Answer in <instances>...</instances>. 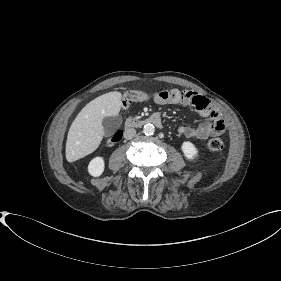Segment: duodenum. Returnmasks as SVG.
<instances>
[{"mask_svg": "<svg viewBox=\"0 0 281 281\" xmlns=\"http://www.w3.org/2000/svg\"><path fill=\"white\" fill-rule=\"evenodd\" d=\"M147 124H153L157 127H162V120L159 114H153L150 117L143 118V119H135L131 118L128 119L125 123V130L130 128H136V127H143Z\"/></svg>", "mask_w": 281, "mask_h": 281, "instance_id": "410a0bca", "label": "duodenum"}]
</instances>
